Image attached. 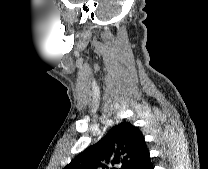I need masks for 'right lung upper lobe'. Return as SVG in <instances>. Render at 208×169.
<instances>
[{
	"instance_id": "1",
	"label": "right lung upper lobe",
	"mask_w": 208,
	"mask_h": 169,
	"mask_svg": "<svg viewBox=\"0 0 208 169\" xmlns=\"http://www.w3.org/2000/svg\"><path fill=\"white\" fill-rule=\"evenodd\" d=\"M150 158L138 127L122 122L96 144L77 155L64 169H141Z\"/></svg>"
}]
</instances>
